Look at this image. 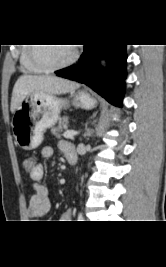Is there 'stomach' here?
Masks as SVG:
<instances>
[{"label":"stomach","mask_w":166,"mask_h":267,"mask_svg":"<svg viewBox=\"0 0 166 267\" xmlns=\"http://www.w3.org/2000/svg\"><path fill=\"white\" fill-rule=\"evenodd\" d=\"M69 101L51 94H32L26 97L12 117V130L16 143L24 150L37 148L43 141L44 131L60 119L61 109ZM73 105L92 109L96 100L84 91L73 95Z\"/></svg>","instance_id":"stomach-1"}]
</instances>
